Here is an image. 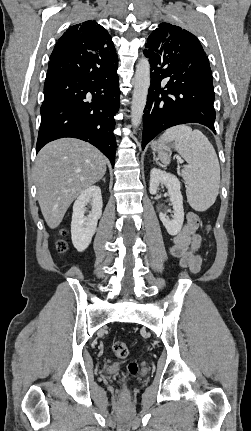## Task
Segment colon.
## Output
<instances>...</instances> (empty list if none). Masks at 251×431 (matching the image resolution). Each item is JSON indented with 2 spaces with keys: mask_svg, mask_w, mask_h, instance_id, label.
<instances>
[{
  "mask_svg": "<svg viewBox=\"0 0 251 431\" xmlns=\"http://www.w3.org/2000/svg\"><path fill=\"white\" fill-rule=\"evenodd\" d=\"M61 233L64 235L66 233L65 230H62ZM57 250L59 252H65L67 249V243L65 240L60 239L56 243ZM112 353L118 358H125L128 355L127 345L122 341H116L111 345ZM139 371V366L136 362H130L127 366V374L128 375H136ZM126 379V375H122L120 377V381L124 382ZM124 394V390H123Z\"/></svg>",
  "mask_w": 251,
  "mask_h": 431,
  "instance_id": "obj_1",
  "label": "colon"
}]
</instances>
